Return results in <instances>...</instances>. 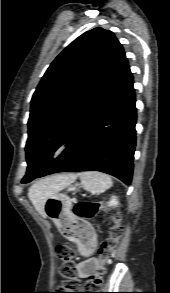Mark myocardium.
<instances>
[{"instance_id":"f54148a6","label":"myocardium","mask_w":170,"mask_h":293,"mask_svg":"<svg viewBox=\"0 0 170 293\" xmlns=\"http://www.w3.org/2000/svg\"><path fill=\"white\" fill-rule=\"evenodd\" d=\"M60 150V143L59 141H51L48 145H47V152L49 153H57Z\"/></svg>"}]
</instances>
